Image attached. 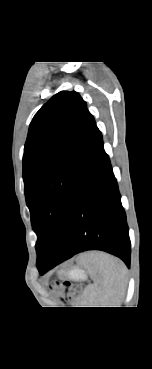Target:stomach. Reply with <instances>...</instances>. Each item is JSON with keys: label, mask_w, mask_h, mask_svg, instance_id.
I'll return each instance as SVG.
<instances>
[{"label": "stomach", "mask_w": 152, "mask_h": 369, "mask_svg": "<svg viewBox=\"0 0 152 369\" xmlns=\"http://www.w3.org/2000/svg\"><path fill=\"white\" fill-rule=\"evenodd\" d=\"M70 276H71V278H73L75 280H80V279H84L85 278L84 272L82 270L78 269V268H74L70 272Z\"/></svg>", "instance_id": "stomach-1"}]
</instances>
